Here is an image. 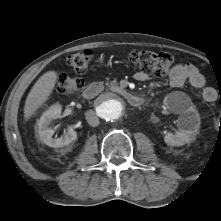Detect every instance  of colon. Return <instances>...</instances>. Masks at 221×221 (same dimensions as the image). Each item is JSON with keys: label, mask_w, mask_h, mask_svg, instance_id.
Wrapping results in <instances>:
<instances>
[{"label": "colon", "mask_w": 221, "mask_h": 221, "mask_svg": "<svg viewBox=\"0 0 221 221\" xmlns=\"http://www.w3.org/2000/svg\"><path fill=\"white\" fill-rule=\"evenodd\" d=\"M93 53L89 49L72 54L68 58V64L78 74H84L92 61ZM130 62L147 75L163 77L170 69L173 57L169 53L134 50L129 54ZM83 87L81 78L67 74H60L57 78L59 92L71 95ZM221 103V98H220Z\"/></svg>", "instance_id": "obj_1"}]
</instances>
